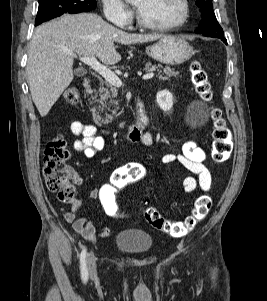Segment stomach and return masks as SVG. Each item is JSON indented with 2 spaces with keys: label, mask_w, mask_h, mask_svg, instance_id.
Wrapping results in <instances>:
<instances>
[{
  "label": "stomach",
  "mask_w": 267,
  "mask_h": 301,
  "mask_svg": "<svg viewBox=\"0 0 267 301\" xmlns=\"http://www.w3.org/2000/svg\"><path fill=\"white\" fill-rule=\"evenodd\" d=\"M146 53L161 63L177 65L188 61L195 51L184 39L164 36L157 43L147 47Z\"/></svg>",
  "instance_id": "1"
}]
</instances>
